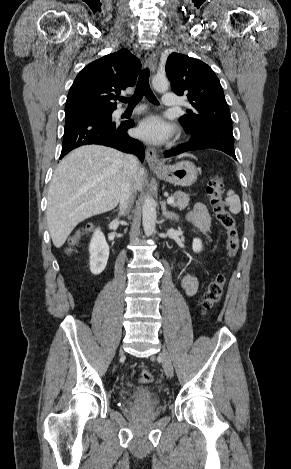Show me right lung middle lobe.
Wrapping results in <instances>:
<instances>
[{
    "label": "right lung middle lobe",
    "instance_id": "1",
    "mask_svg": "<svg viewBox=\"0 0 291 469\" xmlns=\"http://www.w3.org/2000/svg\"><path fill=\"white\" fill-rule=\"evenodd\" d=\"M94 111H101V110H94ZM90 112H93V111H90Z\"/></svg>",
    "mask_w": 291,
    "mask_h": 469
}]
</instances>
